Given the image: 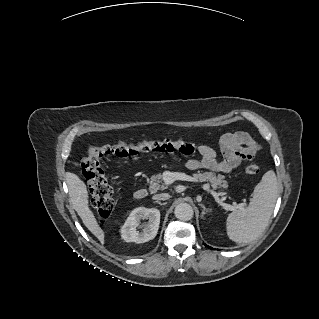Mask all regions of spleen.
Wrapping results in <instances>:
<instances>
[{"mask_svg":"<svg viewBox=\"0 0 319 319\" xmlns=\"http://www.w3.org/2000/svg\"><path fill=\"white\" fill-rule=\"evenodd\" d=\"M278 192L276 174L269 170L255 186L248 206L230 213L227 217L228 237L236 243H249L259 237L269 223Z\"/></svg>","mask_w":319,"mask_h":319,"instance_id":"spleen-1","label":"spleen"}]
</instances>
